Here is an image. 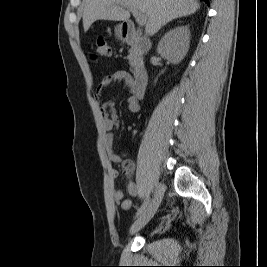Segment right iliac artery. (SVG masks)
Segmentation results:
<instances>
[{
	"label": "right iliac artery",
	"mask_w": 267,
	"mask_h": 267,
	"mask_svg": "<svg viewBox=\"0 0 267 267\" xmlns=\"http://www.w3.org/2000/svg\"><path fill=\"white\" fill-rule=\"evenodd\" d=\"M149 201H150V197H149V195H147L145 200H144V202H143V204L141 205V207L136 212L135 218H137L138 216H140L143 213V211L145 210V208L149 204Z\"/></svg>",
	"instance_id": "82829eb1"
}]
</instances>
